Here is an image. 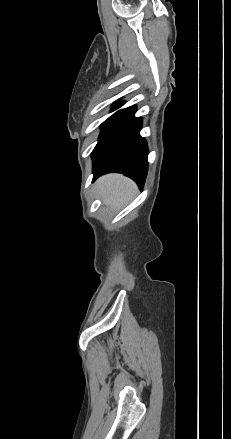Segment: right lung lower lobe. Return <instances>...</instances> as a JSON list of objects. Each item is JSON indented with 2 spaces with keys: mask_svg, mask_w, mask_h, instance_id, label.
Instances as JSON below:
<instances>
[{
  "mask_svg": "<svg viewBox=\"0 0 231 439\" xmlns=\"http://www.w3.org/2000/svg\"><path fill=\"white\" fill-rule=\"evenodd\" d=\"M141 127L142 120L135 118L111 133L93 150V180L109 172H118L143 187L148 169V147L139 135Z\"/></svg>",
  "mask_w": 231,
  "mask_h": 439,
  "instance_id": "right-lung-lower-lobe-1",
  "label": "right lung lower lobe"
}]
</instances>
